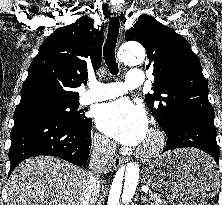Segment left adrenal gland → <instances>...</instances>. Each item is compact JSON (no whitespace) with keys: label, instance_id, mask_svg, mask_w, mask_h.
<instances>
[{"label":"left adrenal gland","instance_id":"left-adrenal-gland-1","mask_svg":"<svg viewBox=\"0 0 222 205\" xmlns=\"http://www.w3.org/2000/svg\"><path fill=\"white\" fill-rule=\"evenodd\" d=\"M142 200H143V202H147V198L146 197L142 198Z\"/></svg>","mask_w":222,"mask_h":205}]
</instances>
